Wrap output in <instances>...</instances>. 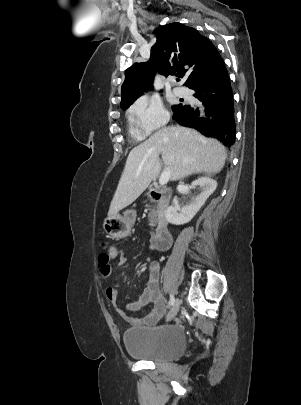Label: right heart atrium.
Segmentation results:
<instances>
[{
	"label": "right heart atrium",
	"mask_w": 301,
	"mask_h": 405,
	"mask_svg": "<svg viewBox=\"0 0 301 405\" xmlns=\"http://www.w3.org/2000/svg\"><path fill=\"white\" fill-rule=\"evenodd\" d=\"M128 113L135 131L144 136L163 127L169 119L167 110L155 98L138 99L129 108Z\"/></svg>",
	"instance_id": "right-heart-atrium-1"
}]
</instances>
